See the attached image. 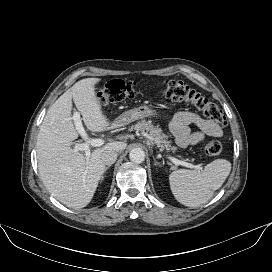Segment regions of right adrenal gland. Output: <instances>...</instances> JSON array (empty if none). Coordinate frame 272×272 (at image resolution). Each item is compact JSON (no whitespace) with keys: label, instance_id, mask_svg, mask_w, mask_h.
<instances>
[{"label":"right adrenal gland","instance_id":"right-adrenal-gland-1","mask_svg":"<svg viewBox=\"0 0 272 272\" xmlns=\"http://www.w3.org/2000/svg\"><path fill=\"white\" fill-rule=\"evenodd\" d=\"M109 167H110V166L105 167L104 172H105L107 169H109ZM103 179H104V176L101 177V181H103Z\"/></svg>","mask_w":272,"mask_h":272}]
</instances>
